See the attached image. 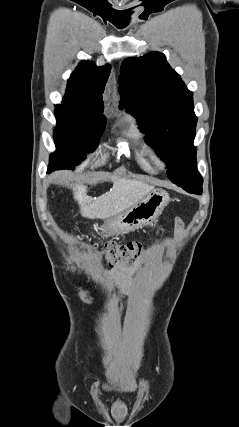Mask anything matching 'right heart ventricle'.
Returning <instances> with one entry per match:
<instances>
[{
	"label": "right heart ventricle",
	"mask_w": 239,
	"mask_h": 427,
	"mask_svg": "<svg viewBox=\"0 0 239 427\" xmlns=\"http://www.w3.org/2000/svg\"><path fill=\"white\" fill-rule=\"evenodd\" d=\"M126 134L135 142H141L143 141V138H144L143 132L140 130L139 126L134 120L130 121Z\"/></svg>",
	"instance_id": "right-heart-ventricle-1"
}]
</instances>
